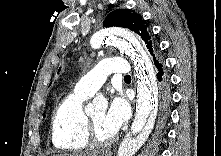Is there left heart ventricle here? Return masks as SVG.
Wrapping results in <instances>:
<instances>
[{
	"label": "left heart ventricle",
	"mask_w": 221,
	"mask_h": 156,
	"mask_svg": "<svg viewBox=\"0 0 221 156\" xmlns=\"http://www.w3.org/2000/svg\"><path fill=\"white\" fill-rule=\"evenodd\" d=\"M105 110H97L92 113L89 117L93 121L96 132L99 137L106 139L114 135L106 126H105Z\"/></svg>",
	"instance_id": "left-heart-ventricle-1"
}]
</instances>
